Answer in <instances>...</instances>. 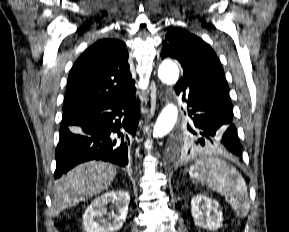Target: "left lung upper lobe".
Here are the masks:
<instances>
[{"label":"left lung upper lobe","instance_id":"left-lung-upper-lobe-1","mask_svg":"<svg viewBox=\"0 0 289 232\" xmlns=\"http://www.w3.org/2000/svg\"><path fill=\"white\" fill-rule=\"evenodd\" d=\"M165 38L161 57H172L180 62L184 74L180 82L204 87L230 98L223 67L209 45L181 29L170 30ZM194 138L190 134L181 135L180 146L184 150L191 149L192 152L204 151V147L193 143Z\"/></svg>","mask_w":289,"mask_h":232}]
</instances>
